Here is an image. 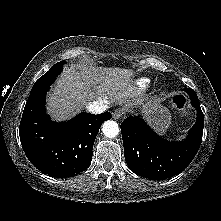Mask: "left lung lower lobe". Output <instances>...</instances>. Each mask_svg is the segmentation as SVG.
Segmentation results:
<instances>
[{
	"label": "left lung lower lobe",
	"instance_id": "1",
	"mask_svg": "<svg viewBox=\"0 0 221 221\" xmlns=\"http://www.w3.org/2000/svg\"><path fill=\"white\" fill-rule=\"evenodd\" d=\"M197 109V120L181 142H170L158 136L140 118L128 117L121 124L124 156L130 170L137 175L161 180L177 175L193 160L202 141L204 115L197 94L184 89Z\"/></svg>",
	"mask_w": 221,
	"mask_h": 221
}]
</instances>
